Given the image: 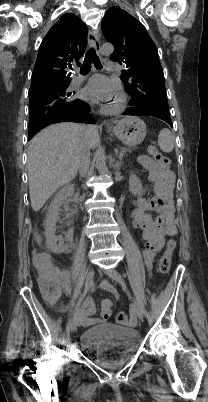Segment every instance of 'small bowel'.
I'll use <instances>...</instances> for the list:
<instances>
[{"label": "small bowel", "instance_id": "c3829d8e", "mask_svg": "<svg viewBox=\"0 0 208 402\" xmlns=\"http://www.w3.org/2000/svg\"><path fill=\"white\" fill-rule=\"evenodd\" d=\"M140 164L148 171L146 185H153V196L145 198L142 196L133 203L130 211L131 225L142 231V238L145 242L143 256L148 270H151L152 259L157 251L162 247L164 240L168 236L177 233V227L174 220L173 188L175 175L168 164L161 163L152 157L141 156ZM40 256H43L40 254ZM63 289L70 291L69 273L67 270L61 271ZM101 289L112 294L116 300L119 299V292L107 280L101 282ZM48 303L57 299V295H43ZM84 309L77 314V321L82 330H89L91 325L98 322V319L92 316L93 304L91 300H84ZM110 299L102 301L103 320H108L111 316Z\"/></svg>", "mask_w": 208, "mask_h": 402}]
</instances>
